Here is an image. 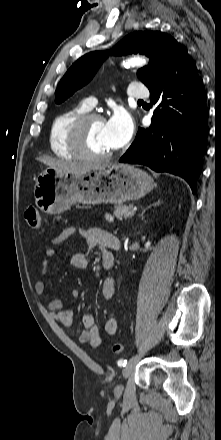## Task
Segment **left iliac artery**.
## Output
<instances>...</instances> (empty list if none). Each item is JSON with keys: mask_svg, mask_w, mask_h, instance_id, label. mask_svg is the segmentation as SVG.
Here are the masks:
<instances>
[{"mask_svg": "<svg viewBox=\"0 0 221 440\" xmlns=\"http://www.w3.org/2000/svg\"><path fill=\"white\" fill-rule=\"evenodd\" d=\"M127 364V360H123V359H120L119 361H118V365L119 366H125Z\"/></svg>", "mask_w": 221, "mask_h": 440, "instance_id": "44dca946", "label": "left iliac artery"}]
</instances>
